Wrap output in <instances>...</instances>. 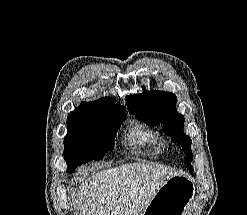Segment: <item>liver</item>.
Returning <instances> with one entry per match:
<instances>
[{
    "label": "liver",
    "mask_w": 247,
    "mask_h": 215,
    "mask_svg": "<svg viewBox=\"0 0 247 215\" xmlns=\"http://www.w3.org/2000/svg\"><path fill=\"white\" fill-rule=\"evenodd\" d=\"M176 171L157 164L127 163L93 174L77 193L78 215H141Z\"/></svg>",
    "instance_id": "liver-1"
}]
</instances>
